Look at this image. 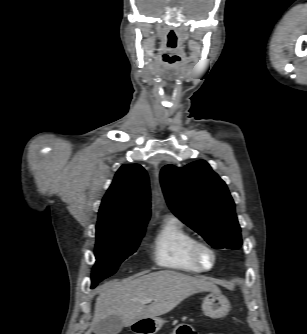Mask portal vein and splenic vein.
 Here are the masks:
<instances>
[{
    "mask_svg": "<svg viewBox=\"0 0 307 334\" xmlns=\"http://www.w3.org/2000/svg\"><path fill=\"white\" fill-rule=\"evenodd\" d=\"M153 301L152 298H146L143 300V303H151Z\"/></svg>",
    "mask_w": 307,
    "mask_h": 334,
    "instance_id": "obj_1",
    "label": "portal vein and splenic vein"
}]
</instances>
